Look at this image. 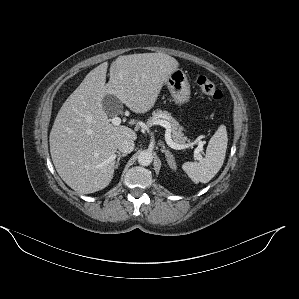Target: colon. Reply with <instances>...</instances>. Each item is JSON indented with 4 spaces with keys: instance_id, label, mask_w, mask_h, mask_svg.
<instances>
[{
    "instance_id": "1",
    "label": "colon",
    "mask_w": 299,
    "mask_h": 299,
    "mask_svg": "<svg viewBox=\"0 0 299 299\" xmlns=\"http://www.w3.org/2000/svg\"><path fill=\"white\" fill-rule=\"evenodd\" d=\"M195 83L200 89V91L207 97L213 100H220L223 97L222 91L217 87V85L207 76L198 75L195 78Z\"/></svg>"
}]
</instances>
